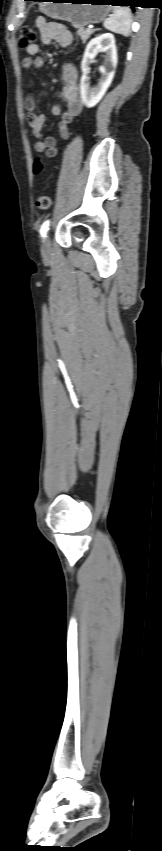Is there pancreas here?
Listing matches in <instances>:
<instances>
[{
  "instance_id": "cf45deb5",
  "label": "pancreas",
  "mask_w": 162,
  "mask_h": 851,
  "mask_svg": "<svg viewBox=\"0 0 162 851\" xmlns=\"http://www.w3.org/2000/svg\"><path fill=\"white\" fill-rule=\"evenodd\" d=\"M74 27H76L78 29L77 35L80 36L83 43H86V41L90 38V36L95 32V30H92V29L87 30V29H84L83 27H78V26H75V25H74Z\"/></svg>"
}]
</instances>
